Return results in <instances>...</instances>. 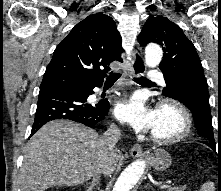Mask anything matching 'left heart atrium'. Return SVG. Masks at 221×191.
<instances>
[{"mask_svg":"<svg viewBox=\"0 0 221 191\" xmlns=\"http://www.w3.org/2000/svg\"><path fill=\"white\" fill-rule=\"evenodd\" d=\"M114 114L137 132L154 130L158 120V112L148 108L139 95H132L117 103Z\"/></svg>","mask_w":221,"mask_h":191,"instance_id":"1","label":"left heart atrium"}]
</instances>
